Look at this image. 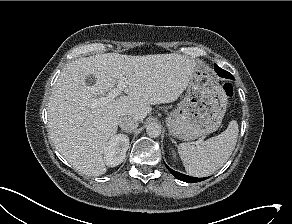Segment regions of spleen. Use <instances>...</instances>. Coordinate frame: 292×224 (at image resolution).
Returning <instances> with one entry per match:
<instances>
[{
	"mask_svg": "<svg viewBox=\"0 0 292 224\" xmlns=\"http://www.w3.org/2000/svg\"><path fill=\"white\" fill-rule=\"evenodd\" d=\"M238 133V123L232 120L225 131L201 145L179 144L178 153L187 173L194 177H206L220 169L231 156Z\"/></svg>",
	"mask_w": 292,
	"mask_h": 224,
	"instance_id": "3e777b00",
	"label": "spleen"
}]
</instances>
